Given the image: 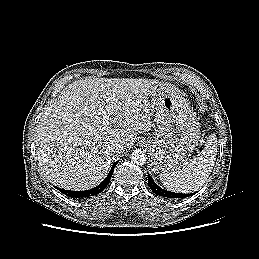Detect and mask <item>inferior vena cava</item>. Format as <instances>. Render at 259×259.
I'll use <instances>...</instances> for the list:
<instances>
[{
	"label": "inferior vena cava",
	"instance_id": "1",
	"mask_svg": "<svg viewBox=\"0 0 259 259\" xmlns=\"http://www.w3.org/2000/svg\"><path fill=\"white\" fill-rule=\"evenodd\" d=\"M110 148L113 152H116L121 148V145L119 143H113V144H111Z\"/></svg>",
	"mask_w": 259,
	"mask_h": 259
}]
</instances>
